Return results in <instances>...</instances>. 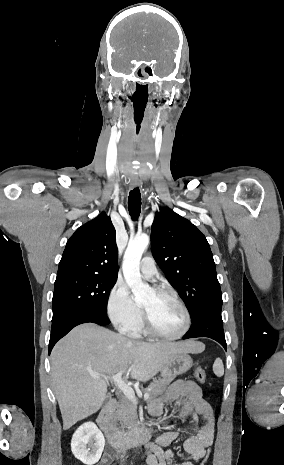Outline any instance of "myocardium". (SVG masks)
Segmentation results:
<instances>
[{"instance_id":"myocardium-1","label":"myocardium","mask_w":284,"mask_h":465,"mask_svg":"<svg viewBox=\"0 0 284 465\" xmlns=\"http://www.w3.org/2000/svg\"><path fill=\"white\" fill-rule=\"evenodd\" d=\"M155 294L157 296H159V297L167 298V299L173 301L175 304H177L179 306V308L183 312L184 319H185V324H184L183 330L179 334H177L175 336H170V337L162 336V335L157 334L153 330V328L151 326V323H150V321H152L151 317L143 309H141L142 321L140 322V327L142 328L143 332L146 335H148L149 337H151V338H153L155 340H158V341L172 342V341H177V340L182 339L188 333V331H189V329L191 327V315H190V312H189L188 308L182 302V300L179 299L178 296L174 295L173 293H171L170 291H168L166 289H157V290H155Z\"/></svg>"}]
</instances>
